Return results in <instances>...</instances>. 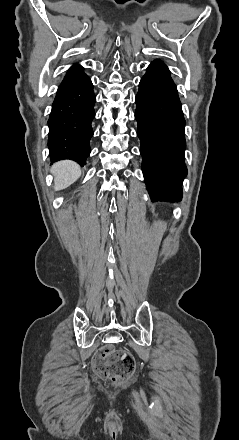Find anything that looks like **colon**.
Instances as JSON below:
<instances>
[{"label": "colon", "instance_id": "colon-1", "mask_svg": "<svg viewBox=\"0 0 239 440\" xmlns=\"http://www.w3.org/2000/svg\"><path fill=\"white\" fill-rule=\"evenodd\" d=\"M94 369L99 376L119 383L132 375L135 360L128 351L105 347L96 353Z\"/></svg>", "mask_w": 239, "mask_h": 440}]
</instances>
